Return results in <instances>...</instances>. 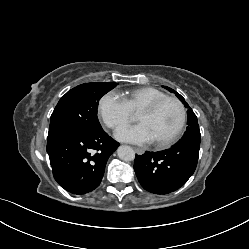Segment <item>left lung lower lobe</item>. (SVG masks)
<instances>
[{
	"label": "left lung lower lobe",
	"mask_w": 249,
	"mask_h": 249,
	"mask_svg": "<svg viewBox=\"0 0 249 249\" xmlns=\"http://www.w3.org/2000/svg\"><path fill=\"white\" fill-rule=\"evenodd\" d=\"M200 142H178L168 150L136 155L134 170L142 187L154 194L179 189L194 173Z\"/></svg>",
	"instance_id": "1"
}]
</instances>
